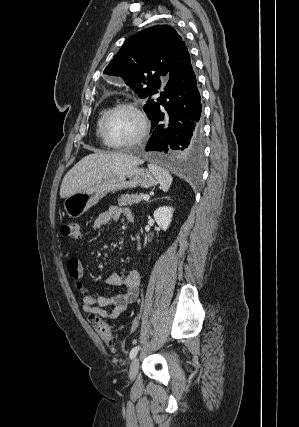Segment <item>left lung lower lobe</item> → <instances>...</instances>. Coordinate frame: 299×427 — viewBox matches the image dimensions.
I'll list each match as a JSON object with an SVG mask.
<instances>
[{"label": "left lung lower lobe", "instance_id": "left-lung-lower-lobe-1", "mask_svg": "<svg viewBox=\"0 0 299 427\" xmlns=\"http://www.w3.org/2000/svg\"><path fill=\"white\" fill-rule=\"evenodd\" d=\"M165 91L155 101L152 136L145 150L161 161L193 160L203 150L201 97L190 55L182 41L169 70Z\"/></svg>", "mask_w": 299, "mask_h": 427}]
</instances>
